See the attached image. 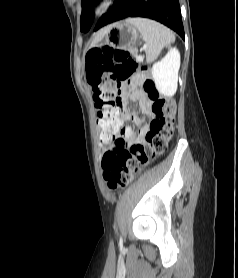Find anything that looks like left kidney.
Listing matches in <instances>:
<instances>
[{
	"instance_id": "left-kidney-1",
	"label": "left kidney",
	"mask_w": 238,
	"mask_h": 278,
	"mask_svg": "<svg viewBox=\"0 0 238 278\" xmlns=\"http://www.w3.org/2000/svg\"><path fill=\"white\" fill-rule=\"evenodd\" d=\"M180 53L176 48L170 49L161 61L152 67V76L157 90L164 96L171 97L176 93Z\"/></svg>"
}]
</instances>
